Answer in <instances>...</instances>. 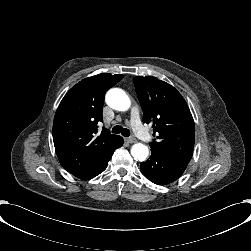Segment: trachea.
<instances>
[{
	"mask_svg": "<svg viewBox=\"0 0 251 251\" xmlns=\"http://www.w3.org/2000/svg\"><path fill=\"white\" fill-rule=\"evenodd\" d=\"M112 133L119 134L121 133L125 137L130 136V131L127 128H123L122 126L116 125L112 128Z\"/></svg>",
	"mask_w": 251,
	"mask_h": 251,
	"instance_id": "trachea-1",
	"label": "trachea"
}]
</instances>
